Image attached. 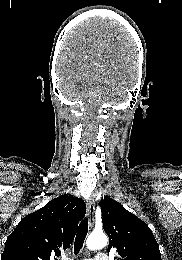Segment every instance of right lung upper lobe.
<instances>
[{
  "label": "right lung upper lobe",
  "mask_w": 182,
  "mask_h": 260,
  "mask_svg": "<svg viewBox=\"0 0 182 260\" xmlns=\"http://www.w3.org/2000/svg\"><path fill=\"white\" fill-rule=\"evenodd\" d=\"M80 198L61 195L24 217L6 240L1 260H58L85 216Z\"/></svg>",
  "instance_id": "cb5924a9"
}]
</instances>
